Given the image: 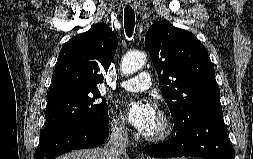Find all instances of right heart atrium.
Masks as SVG:
<instances>
[{
	"instance_id": "right-heart-atrium-1",
	"label": "right heart atrium",
	"mask_w": 253,
	"mask_h": 159,
	"mask_svg": "<svg viewBox=\"0 0 253 159\" xmlns=\"http://www.w3.org/2000/svg\"><path fill=\"white\" fill-rule=\"evenodd\" d=\"M112 132L118 136H124L127 133L126 122L122 116L114 114L109 122Z\"/></svg>"
}]
</instances>
